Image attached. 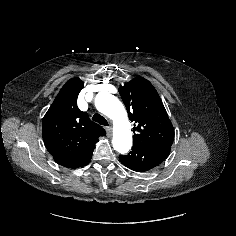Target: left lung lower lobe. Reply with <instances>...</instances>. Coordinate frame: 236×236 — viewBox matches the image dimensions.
I'll list each match as a JSON object with an SVG mask.
<instances>
[{
	"label": "left lung lower lobe",
	"instance_id": "obj_1",
	"mask_svg": "<svg viewBox=\"0 0 236 236\" xmlns=\"http://www.w3.org/2000/svg\"><path fill=\"white\" fill-rule=\"evenodd\" d=\"M171 147L133 146L128 155H120L123 165L136 172H146L161 164L169 155Z\"/></svg>",
	"mask_w": 236,
	"mask_h": 236
}]
</instances>
